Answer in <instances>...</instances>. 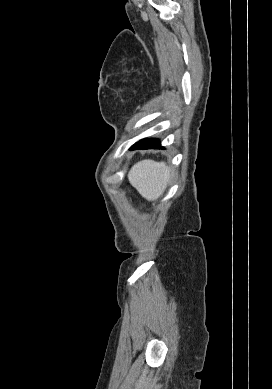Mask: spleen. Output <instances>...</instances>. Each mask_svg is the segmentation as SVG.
Instances as JSON below:
<instances>
[{
	"label": "spleen",
	"mask_w": 272,
	"mask_h": 389,
	"mask_svg": "<svg viewBox=\"0 0 272 389\" xmlns=\"http://www.w3.org/2000/svg\"><path fill=\"white\" fill-rule=\"evenodd\" d=\"M170 176L171 169L164 162L147 159L131 168L128 180L142 197L152 201L162 195Z\"/></svg>",
	"instance_id": "1"
}]
</instances>
